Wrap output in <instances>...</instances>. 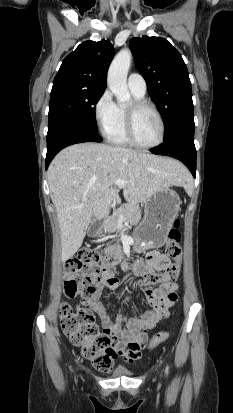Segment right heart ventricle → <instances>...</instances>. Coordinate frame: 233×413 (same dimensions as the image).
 Listing matches in <instances>:
<instances>
[{
  "instance_id": "e07e8e85",
  "label": "right heart ventricle",
  "mask_w": 233,
  "mask_h": 413,
  "mask_svg": "<svg viewBox=\"0 0 233 413\" xmlns=\"http://www.w3.org/2000/svg\"><path fill=\"white\" fill-rule=\"evenodd\" d=\"M136 100L142 99L132 93ZM107 140L117 146H130L132 145L127 138L126 134V108L123 106H117L116 118L113 126L106 134Z\"/></svg>"
}]
</instances>
